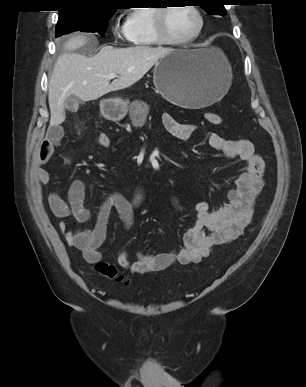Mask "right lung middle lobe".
Returning <instances> with one entry per match:
<instances>
[{
  "label": "right lung middle lobe",
  "mask_w": 306,
  "mask_h": 387,
  "mask_svg": "<svg viewBox=\"0 0 306 387\" xmlns=\"http://www.w3.org/2000/svg\"><path fill=\"white\" fill-rule=\"evenodd\" d=\"M116 10H101L94 12L60 13L56 26V37L74 31L98 32L103 35L108 27V20Z\"/></svg>",
  "instance_id": "obj_1"
}]
</instances>
